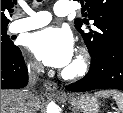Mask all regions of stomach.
Returning a JSON list of instances; mask_svg holds the SVG:
<instances>
[{
    "label": "stomach",
    "mask_w": 123,
    "mask_h": 113,
    "mask_svg": "<svg viewBox=\"0 0 123 113\" xmlns=\"http://www.w3.org/2000/svg\"><path fill=\"white\" fill-rule=\"evenodd\" d=\"M68 103L82 113H98L100 103L97 97L92 95L70 96L66 98Z\"/></svg>",
    "instance_id": "1"
}]
</instances>
